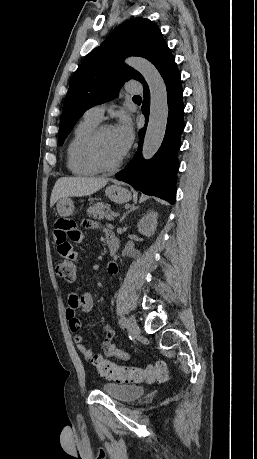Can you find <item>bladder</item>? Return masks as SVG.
I'll return each instance as SVG.
<instances>
[{"label":"bladder","instance_id":"31cf9c89","mask_svg":"<svg viewBox=\"0 0 257 459\" xmlns=\"http://www.w3.org/2000/svg\"><path fill=\"white\" fill-rule=\"evenodd\" d=\"M102 391L120 402H130L145 394V388L142 386L117 383L104 384Z\"/></svg>","mask_w":257,"mask_h":459}]
</instances>
